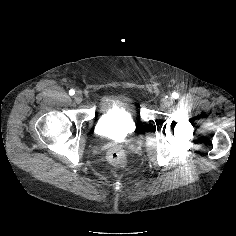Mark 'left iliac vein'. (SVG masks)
Segmentation results:
<instances>
[{
  "mask_svg": "<svg viewBox=\"0 0 236 236\" xmlns=\"http://www.w3.org/2000/svg\"><path fill=\"white\" fill-rule=\"evenodd\" d=\"M173 102L172 98H163L161 100V105L162 106H169Z\"/></svg>",
  "mask_w": 236,
  "mask_h": 236,
  "instance_id": "obj_1",
  "label": "left iliac vein"
}]
</instances>
